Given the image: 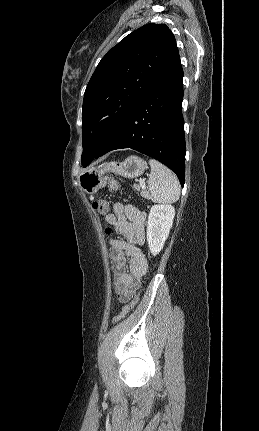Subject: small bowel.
Instances as JSON below:
<instances>
[{
    "instance_id": "obj_1",
    "label": "small bowel",
    "mask_w": 259,
    "mask_h": 431,
    "mask_svg": "<svg viewBox=\"0 0 259 431\" xmlns=\"http://www.w3.org/2000/svg\"><path fill=\"white\" fill-rule=\"evenodd\" d=\"M105 220L124 236V239H111L109 245L114 291L119 301L127 302L148 267L142 249L146 214L133 205L115 203Z\"/></svg>"
}]
</instances>
